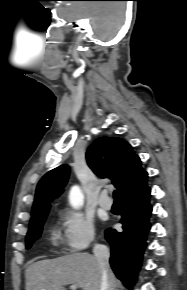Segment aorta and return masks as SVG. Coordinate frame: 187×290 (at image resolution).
I'll list each match as a JSON object with an SVG mask.
<instances>
[{
	"mask_svg": "<svg viewBox=\"0 0 187 290\" xmlns=\"http://www.w3.org/2000/svg\"><path fill=\"white\" fill-rule=\"evenodd\" d=\"M69 203L75 208L79 209L84 203V195L80 187L73 186L69 193Z\"/></svg>",
	"mask_w": 187,
	"mask_h": 290,
	"instance_id": "1",
	"label": "aorta"
}]
</instances>
